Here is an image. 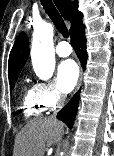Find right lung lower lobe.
<instances>
[{
    "label": "right lung lower lobe",
    "mask_w": 114,
    "mask_h": 156,
    "mask_svg": "<svg viewBox=\"0 0 114 156\" xmlns=\"http://www.w3.org/2000/svg\"><path fill=\"white\" fill-rule=\"evenodd\" d=\"M71 43L73 48L79 57L82 66L85 68L87 61L86 53V38H85V28L81 23L73 31L70 32ZM79 105V93L76 94L70 102H68L64 108L58 113L57 118L63 121L69 128H72L77 109Z\"/></svg>",
    "instance_id": "obj_1"
}]
</instances>
